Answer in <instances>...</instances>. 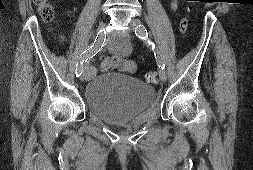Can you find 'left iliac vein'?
I'll return each instance as SVG.
<instances>
[{"label":"left iliac vein","mask_w":253,"mask_h":170,"mask_svg":"<svg viewBox=\"0 0 253 170\" xmlns=\"http://www.w3.org/2000/svg\"><path fill=\"white\" fill-rule=\"evenodd\" d=\"M131 24L136 27V26L141 25L142 23H141V21L139 19H133L131 21ZM159 77H160V80L162 82H166V80H167V74H166V71L164 69L163 70L160 69V71H159Z\"/></svg>","instance_id":"4c4485c4"}]
</instances>
